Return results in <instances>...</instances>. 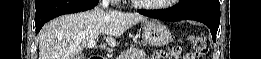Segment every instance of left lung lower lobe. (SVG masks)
Listing matches in <instances>:
<instances>
[{"mask_svg": "<svg viewBox=\"0 0 261 59\" xmlns=\"http://www.w3.org/2000/svg\"><path fill=\"white\" fill-rule=\"evenodd\" d=\"M140 14L166 21L196 20L210 29L213 41L220 23L219 0H189L166 11L137 10Z\"/></svg>", "mask_w": 261, "mask_h": 59, "instance_id": "0a47b994", "label": "left lung lower lobe"}]
</instances>
